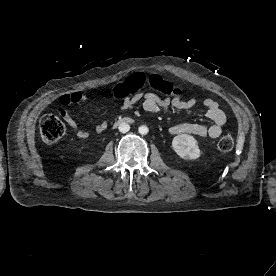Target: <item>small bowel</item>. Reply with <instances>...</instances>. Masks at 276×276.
I'll list each match as a JSON object with an SVG mask.
<instances>
[{
  "instance_id": "1",
  "label": "small bowel",
  "mask_w": 276,
  "mask_h": 276,
  "mask_svg": "<svg viewBox=\"0 0 276 276\" xmlns=\"http://www.w3.org/2000/svg\"><path fill=\"white\" fill-rule=\"evenodd\" d=\"M88 100V96L81 91H74L71 93L62 94L59 98V103L62 106H69L71 104L85 103ZM139 102L142 104V108L149 113H158L168 109L184 110L192 107L195 104V99L184 101L178 98H165L161 99L157 95L140 91L134 95H127L122 99L120 108L123 110L131 109L135 107ZM203 107L205 116L212 121L211 126H205L196 123H182L174 125L170 128L169 133L172 135L180 133H189L197 135L199 137L218 138L222 129L227 122V117L224 111L219 107L217 102L213 99H205L203 101ZM62 116L65 122L76 132L79 138H87L90 133L79 125L75 118L67 111H62ZM105 124H98L95 128L97 132L103 131Z\"/></svg>"
}]
</instances>
